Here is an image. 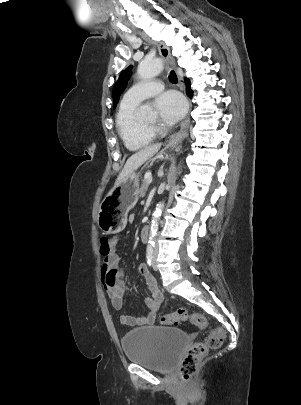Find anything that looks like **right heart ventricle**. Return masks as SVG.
<instances>
[{
  "label": "right heart ventricle",
  "mask_w": 301,
  "mask_h": 405,
  "mask_svg": "<svg viewBox=\"0 0 301 405\" xmlns=\"http://www.w3.org/2000/svg\"><path fill=\"white\" fill-rule=\"evenodd\" d=\"M138 104L122 101L116 114V128L125 147L130 151H137L149 145L154 134L144 131L136 116Z\"/></svg>",
  "instance_id": "right-heart-ventricle-1"
}]
</instances>
